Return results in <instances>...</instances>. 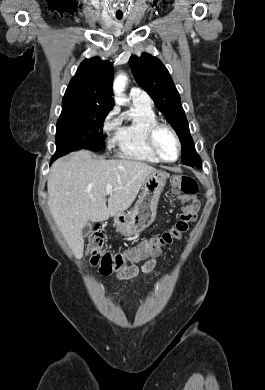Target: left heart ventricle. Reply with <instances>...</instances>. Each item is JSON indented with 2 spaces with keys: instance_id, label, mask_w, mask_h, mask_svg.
<instances>
[{
  "instance_id": "b2bd125f",
  "label": "left heart ventricle",
  "mask_w": 265,
  "mask_h": 390,
  "mask_svg": "<svg viewBox=\"0 0 265 390\" xmlns=\"http://www.w3.org/2000/svg\"><path fill=\"white\" fill-rule=\"evenodd\" d=\"M156 146L161 155L167 160L175 159L177 146L172 134L166 129H160L156 134Z\"/></svg>"
}]
</instances>
